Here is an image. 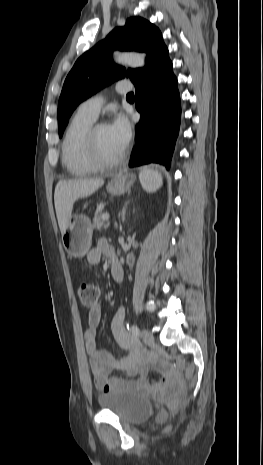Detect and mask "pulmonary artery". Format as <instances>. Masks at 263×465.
I'll return each mask as SVG.
<instances>
[{
  "label": "pulmonary artery",
  "mask_w": 263,
  "mask_h": 465,
  "mask_svg": "<svg viewBox=\"0 0 263 465\" xmlns=\"http://www.w3.org/2000/svg\"><path fill=\"white\" fill-rule=\"evenodd\" d=\"M131 86L125 82H119L116 85L117 93L123 94L130 91ZM104 103V98L102 95H94L85 101H83L78 108V111L84 115H87L93 119H96L100 109Z\"/></svg>",
  "instance_id": "e3ab8cb5"
}]
</instances>
